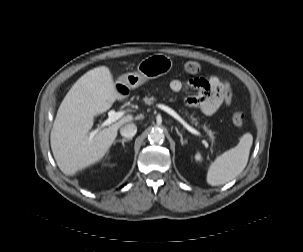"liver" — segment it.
<instances>
[{"label": "liver", "mask_w": 303, "mask_h": 252, "mask_svg": "<svg viewBox=\"0 0 303 252\" xmlns=\"http://www.w3.org/2000/svg\"><path fill=\"white\" fill-rule=\"evenodd\" d=\"M106 66L96 67L81 76L63 99L50 135L51 149L60 170L67 176L100 161L117 137L118 129L132 122L126 115L90 138L94 117L123 100Z\"/></svg>", "instance_id": "6515ba94"}]
</instances>
